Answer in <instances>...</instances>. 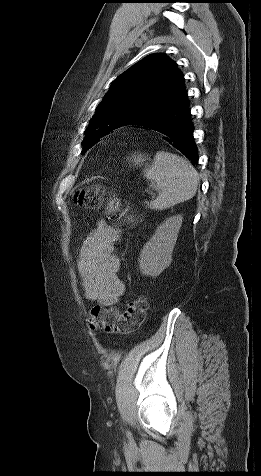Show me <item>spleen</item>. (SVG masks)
I'll return each instance as SVG.
<instances>
[{"label": "spleen", "mask_w": 261, "mask_h": 476, "mask_svg": "<svg viewBox=\"0 0 261 476\" xmlns=\"http://www.w3.org/2000/svg\"><path fill=\"white\" fill-rule=\"evenodd\" d=\"M143 172L159 192L156 199L146 202L151 209L164 210L190 200L196 194L198 172L189 161L176 154L157 152L152 165Z\"/></svg>", "instance_id": "spleen-1"}]
</instances>
